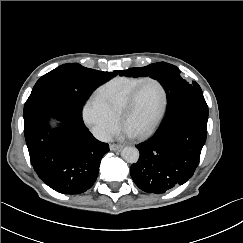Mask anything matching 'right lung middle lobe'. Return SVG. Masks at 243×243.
<instances>
[{
  "label": "right lung middle lobe",
  "instance_id": "right-lung-middle-lobe-1",
  "mask_svg": "<svg viewBox=\"0 0 243 243\" xmlns=\"http://www.w3.org/2000/svg\"><path fill=\"white\" fill-rule=\"evenodd\" d=\"M118 73L119 70L102 72L83 67L78 63L63 64L42 76L36 82L31 94L58 96L82 111L86 99L96 87Z\"/></svg>",
  "mask_w": 243,
  "mask_h": 243
}]
</instances>
